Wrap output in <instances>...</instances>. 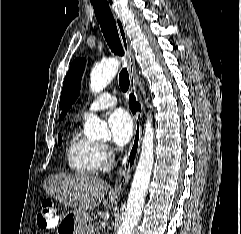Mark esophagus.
Returning a JSON list of instances; mask_svg holds the SVG:
<instances>
[{
	"label": "esophagus",
	"instance_id": "esophagus-1",
	"mask_svg": "<svg viewBox=\"0 0 241 234\" xmlns=\"http://www.w3.org/2000/svg\"><path fill=\"white\" fill-rule=\"evenodd\" d=\"M107 1L110 5L113 17L115 19L119 38L126 56L127 67H128L129 77H130V90L136 97L138 90H137V83H136L135 59L129 44V40H128L124 25L114 10L113 0H107ZM141 131H142V121H141L139 112H136L134 116L133 138L116 178V183L113 189V193L115 194H118V195L122 194L126 186L128 185V182L131 177V173L136 165L138 154L140 151Z\"/></svg>",
	"mask_w": 241,
	"mask_h": 234
}]
</instances>
